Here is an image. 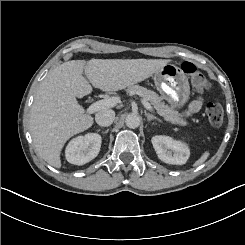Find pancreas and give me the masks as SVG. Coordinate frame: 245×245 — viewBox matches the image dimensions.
I'll list each match as a JSON object with an SVG mask.
<instances>
[{
  "instance_id": "cf45deb5",
  "label": "pancreas",
  "mask_w": 245,
  "mask_h": 245,
  "mask_svg": "<svg viewBox=\"0 0 245 245\" xmlns=\"http://www.w3.org/2000/svg\"><path fill=\"white\" fill-rule=\"evenodd\" d=\"M127 94H137L141 96L144 100L149 101L157 113L162 116L166 121L171 122L172 124H178L181 126H186L187 122L180 117L178 111L175 110V105H166L163 102L162 96H159L156 92L148 90L139 85H130L126 89Z\"/></svg>"
}]
</instances>
